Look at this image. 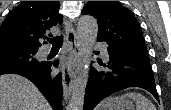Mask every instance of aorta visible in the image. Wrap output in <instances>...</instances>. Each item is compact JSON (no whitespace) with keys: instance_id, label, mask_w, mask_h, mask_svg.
I'll use <instances>...</instances> for the list:
<instances>
[{"instance_id":"1","label":"aorta","mask_w":171,"mask_h":110,"mask_svg":"<svg viewBox=\"0 0 171 110\" xmlns=\"http://www.w3.org/2000/svg\"><path fill=\"white\" fill-rule=\"evenodd\" d=\"M77 32L81 44L82 66L66 110H83L90 71V57L98 33L97 20L89 15L81 16L78 20Z\"/></svg>"}]
</instances>
